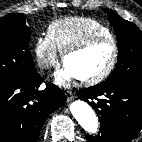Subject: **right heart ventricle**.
Wrapping results in <instances>:
<instances>
[{"mask_svg": "<svg viewBox=\"0 0 142 142\" xmlns=\"http://www.w3.org/2000/svg\"><path fill=\"white\" fill-rule=\"evenodd\" d=\"M94 34L111 35V32L98 20L84 16L57 19L47 28V35L60 52Z\"/></svg>", "mask_w": 142, "mask_h": 142, "instance_id": "obj_1", "label": "right heart ventricle"}]
</instances>
